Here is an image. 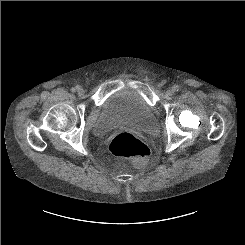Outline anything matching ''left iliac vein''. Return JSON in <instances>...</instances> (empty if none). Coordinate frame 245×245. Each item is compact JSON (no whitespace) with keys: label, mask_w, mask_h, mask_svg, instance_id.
I'll use <instances>...</instances> for the list:
<instances>
[{"label":"left iliac vein","mask_w":245,"mask_h":245,"mask_svg":"<svg viewBox=\"0 0 245 245\" xmlns=\"http://www.w3.org/2000/svg\"><path fill=\"white\" fill-rule=\"evenodd\" d=\"M173 94H174L173 89H168V90L166 91V95H167V96H172Z\"/></svg>","instance_id":"1"}]
</instances>
